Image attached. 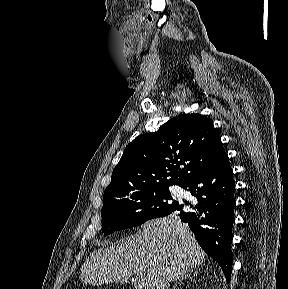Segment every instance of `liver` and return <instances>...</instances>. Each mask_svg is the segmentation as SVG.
<instances>
[{"label": "liver", "instance_id": "6515ba94", "mask_svg": "<svg viewBox=\"0 0 288 289\" xmlns=\"http://www.w3.org/2000/svg\"><path fill=\"white\" fill-rule=\"evenodd\" d=\"M92 252L81 267L84 284L127 283L133 273L141 289H168L205 258L193 234L176 215L146 222L138 235Z\"/></svg>", "mask_w": 288, "mask_h": 289}]
</instances>
